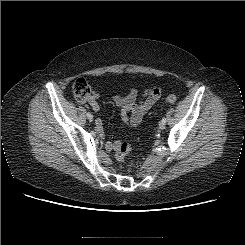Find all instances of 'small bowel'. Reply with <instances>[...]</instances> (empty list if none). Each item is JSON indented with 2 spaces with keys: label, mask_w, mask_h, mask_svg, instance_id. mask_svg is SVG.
I'll return each instance as SVG.
<instances>
[{
  "label": "small bowel",
  "mask_w": 245,
  "mask_h": 245,
  "mask_svg": "<svg viewBox=\"0 0 245 245\" xmlns=\"http://www.w3.org/2000/svg\"><path fill=\"white\" fill-rule=\"evenodd\" d=\"M138 95V89L133 87L126 95L114 94L111 96L112 101L121 108V120L124 126L134 127L137 126L143 116L153 107V105L159 100L161 96V90L159 88H146L139 103H136ZM97 95L92 94L87 99V103L94 111L100 109ZM118 143L108 141L106 143V150L112 151L116 149Z\"/></svg>",
  "instance_id": "obj_1"
}]
</instances>
